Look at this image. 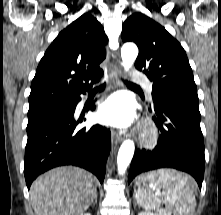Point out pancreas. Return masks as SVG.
I'll use <instances>...</instances> for the list:
<instances>
[{
  "mask_svg": "<svg viewBox=\"0 0 221 215\" xmlns=\"http://www.w3.org/2000/svg\"><path fill=\"white\" fill-rule=\"evenodd\" d=\"M160 215H170V213L165 211V212H163V214L160 213Z\"/></svg>",
  "mask_w": 221,
  "mask_h": 215,
  "instance_id": "obj_1",
  "label": "pancreas"
}]
</instances>
